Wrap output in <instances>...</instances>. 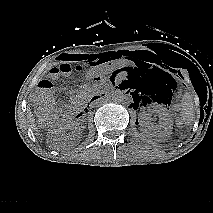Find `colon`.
I'll return each instance as SVG.
<instances>
[{
	"label": "colon",
	"instance_id": "colon-1",
	"mask_svg": "<svg viewBox=\"0 0 213 213\" xmlns=\"http://www.w3.org/2000/svg\"><path fill=\"white\" fill-rule=\"evenodd\" d=\"M83 66L80 64H76L72 66L70 63H62L57 67H54L50 70V74L52 78H57L60 75L69 76L74 71L81 72L83 71ZM39 99H38V112L40 114H49L53 111L54 106V97L52 95L53 85L48 80H42L39 85ZM137 104L143 105L145 104L144 98H137Z\"/></svg>",
	"mask_w": 213,
	"mask_h": 213
}]
</instances>
